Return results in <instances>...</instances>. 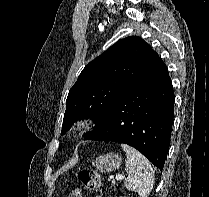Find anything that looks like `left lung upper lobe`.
<instances>
[{
	"mask_svg": "<svg viewBox=\"0 0 209 197\" xmlns=\"http://www.w3.org/2000/svg\"><path fill=\"white\" fill-rule=\"evenodd\" d=\"M158 57L143 39L130 36L88 63L69 91L61 134L83 117L92 118L98 125L116 100L145 76Z\"/></svg>",
	"mask_w": 209,
	"mask_h": 197,
	"instance_id": "1",
	"label": "left lung upper lobe"
}]
</instances>
